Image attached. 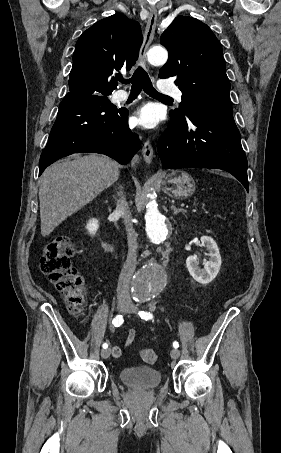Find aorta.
<instances>
[{"label": "aorta", "instance_id": "762f6f07", "mask_svg": "<svg viewBox=\"0 0 281 453\" xmlns=\"http://www.w3.org/2000/svg\"><path fill=\"white\" fill-rule=\"evenodd\" d=\"M148 61L155 66L166 63L168 53L163 47L155 46L147 53ZM151 199L154 196L150 195ZM146 232L150 240L159 244L169 236V228L165 217L159 212L158 205L154 199L146 206ZM166 274L163 268L151 263L139 270L132 280V291L139 300H149L155 297L166 284Z\"/></svg>", "mask_w": 281, "mask_h": 453}]
</instances>
